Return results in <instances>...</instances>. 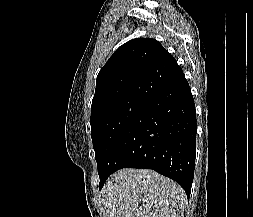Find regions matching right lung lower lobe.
Here are the masks:
<instances>
[{"instance_id":"1","label":"right lung lower lobe","mask_w":253,"mask_h":217,"mask_svg":"<svg viewBox=\"0 0 253 217\" xmlns=\"http://www.w3.org/2000/svg\"><path fill=\"white\" fill-rule=\"evenodd\" d=\"M195 154V104L182 73L149 100L122 133L107 158L99 189L118 169L147 168L175 180L189 196Z\"/></svg>"}]
</instances>
